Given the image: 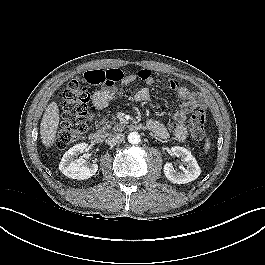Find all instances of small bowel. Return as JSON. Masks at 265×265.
Returning <instances> with one entry per match:
<instances>
[{
  "label": "small bowel",
  "instance_id": "obj_1",
  "mask_svg": "<svg viewBox=\"0 0 265 265\" xmlns=\"http://www.w3.org/2000/svg\"><path fill=\"white\" fill-rule=\"evenodd\" d=\"M138 78L137 74H130L126 76L119 74L116 81H120L122 84H129ZM142 80L145 81L146 85L136 92L135 98L139 102H146L151 97L150 86L153 84L154 78L150 73ZM115 82H112L111 84H104L102 89L92 92V103L96 108L103 109L109 104L110 100L116 93L114 86ZM170 86L183 101L181 108L174 115L176 124L173 136L178 142H184L187 138V126L185 124L186 116L195 108L200 107L201 101L197 93L190 91L184 86L176 83H172ZM147 128L155 133L159 138L166 139L169 136L167 127L157 120H149L147 122Z\"/></svg>",
  "mask_w": 265,
  "mask_h": 265
}]
</instances>
